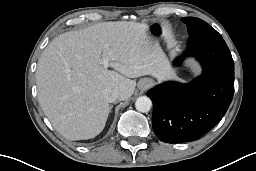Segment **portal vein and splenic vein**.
I'll list each match as a JSON object with an SVG mask.
<instances>
[{"mask_svg": "<svg viewBox=\"0 0 256 171\" xmlns=\"http://www.w3.org/2000/svg\"><path fill=\"white\" fill-rule=\"evenodd\" d=\"M103 65H104V67H108V61L106 60V59H104V61H103Z\"/></svg>", "mask_w": 256, "mask_h": 171, "instance_id": "1", "label": "portal vein and splenic vein"}]
</instances>
